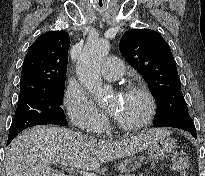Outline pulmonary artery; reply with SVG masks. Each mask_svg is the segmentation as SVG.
Returning <instances> with one entry per match:
<instances>
[{"instance_id":"e3ab8cb5","label":"pulmonary artery","mask_w":205,"mask_h":176,"mask_svg":"<svg viewBox=\"0 0 205 176\" xmlns=\"http://www.w3.org/2000/svg\"><path fill=\"white\" fill-rule=\"evenodd\" d=\"M100 73L107 80L118 79L124 73V65L118 57L110 56L102 63Z\"/></svg>"}]
</instances>
